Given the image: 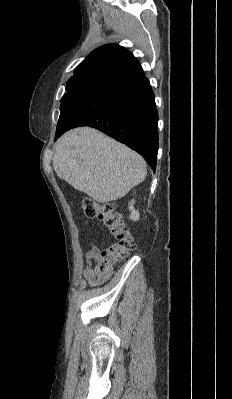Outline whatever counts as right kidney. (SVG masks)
Returning <instances> with one entry per match:
<instances>
[{
    "label": "right kidney",
    "instance_id": "obj_1",
    "mask_svg": "<svg viewBox=\"0 0 232 399\" xmlns=\"http://www.w3.org/2000/svg\"><path fill=\"white\" fill-rule=\"evenodd\" d=\"M133 201L134 200H131L129 203V209L131 211L129 217H130V219H133V221H137V219H139V217H140V213H139L138 209H134Z\"/></svg>",
    "mask_w": 232,
    "mask_h": 399
}]
</instances>
